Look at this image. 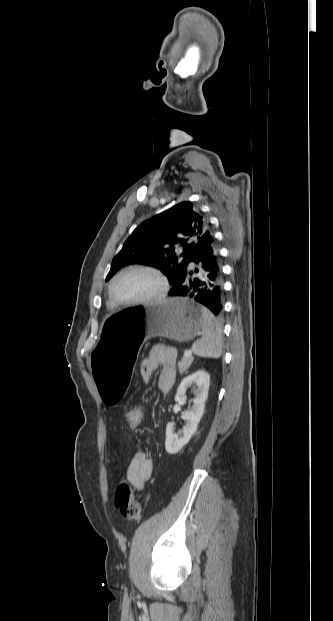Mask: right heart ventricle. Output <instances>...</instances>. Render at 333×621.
<instances>
[{
  "label": "right heart ventricle",
  "instance_id": "1",
  "mask_svg": "<svg viewBox=\"0 0 333 621\" xmlns=\"http://www.w3.org/2000/svg\"><path fill=\"white\" fill-rule=\"evenodd\" d=\"M108 303H109V305H110L111 307H114V306H115V305L112 303V301L110 300V298H109V300H108Z\"/></svg>",
  "mask_w": 333,
  "mask_h": 621
}]
</instances>
